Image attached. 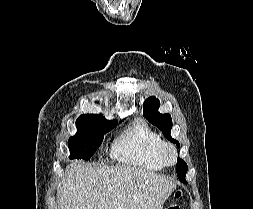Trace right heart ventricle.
Returning <instances> with one entry per match:
<instances>
[{"label": "right heart ventricle", "instance_id": "obj_1", "mask_svg": "<svg viewBox=\"0 0 253 209\" xmlns=\"http://www.w3.org/2000/svg\"><path fill=\"white\" fill-rule=\"evenodd\" d=\"M162 143L159 133L137 118L118 137L112 154L126 164L157 171L166 166L160 154Z\"/></svg>", "mask_w": 253, "mask_h": 209}]
</instances>
